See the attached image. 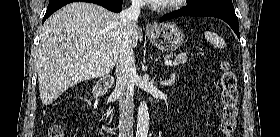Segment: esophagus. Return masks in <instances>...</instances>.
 <instances>
[{"label":"esophagus","mask_w":280,"mask_h":137,"mask_svg":"<svg viewBox=\"0 0 280 137\" xmlns=\"http://www.w3.org/2000/svg\"><path fill=\"white\" fill-rule=\"evenodd\" d=\"M146 32L147 33H149V32H152L153 30H154V26L153 25H151V24H148L147 26H146Z\"/></svg>","instance_id":"34e87169"}]
</instances>
